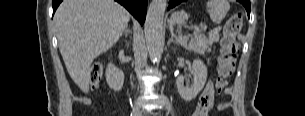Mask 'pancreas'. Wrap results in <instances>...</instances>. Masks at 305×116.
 I'll use <instances>...</instances> for the list:
<instances>
[{
    "label": "pancreas",
    "mask_w": 305,
    "mask_h": 116,
    "mask_svg": "<svg viewBox=\"0 0 305 116\" xmlns=\"http://www.w3.org/2000/svg\"><path fill=\"white\" fill-rule=\"evenodd\" d=\"M180 39H182L181 36ZM209 44L210 42L204 34H197L188 44L185 43L184 47L189 51L204 55Z\"/></svg>",
    "instance_id": "obj_1"
}]
</instances>
